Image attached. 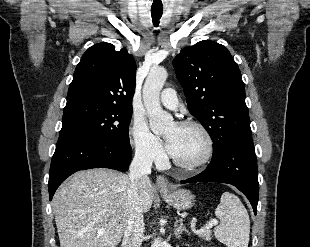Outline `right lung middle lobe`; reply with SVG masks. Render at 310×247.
<instances>
[{
    "label": "right lung middle lobe",
    "instance_id": "1",
    "mask_svg": "<svg viewBox=\"0 0 310 247\" xmlns=\"http://www.w3.org/2000/svg\"><path fill=\"white\" fill-rule=\"evenodd\" d=\"M132 110L117 108L75 107L63 112L60 136L81 134L112 144L129 142L128 126Z\"/></svg>",
    "mask_w": 310,
    "mask_h": 247
}]
</instances>
